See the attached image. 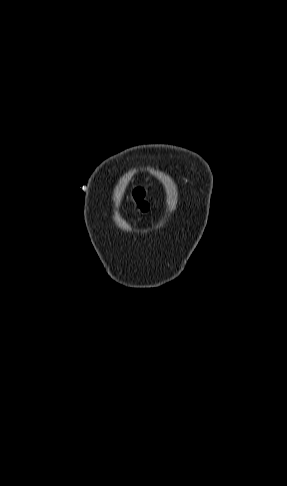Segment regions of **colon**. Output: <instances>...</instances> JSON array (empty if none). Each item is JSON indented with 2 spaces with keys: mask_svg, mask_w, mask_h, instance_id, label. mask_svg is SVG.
Wrapping results in <instances>:
<instances>
[{
  "mask_svg": "<svg viewBox=\"0 0 287 486\" xmlns=\"http://www.w3.org/2000/svg\"><path fill=\"white\" fill-rule=\"evenodd\" d=\"M133 198L141 211H146L149 208V204L146 201V190L144 188H136L133 191Z\"/></svg>",
  "mask_w": 287,
  "mask_h": 486,
  "instance_id": "1",
  "label": "colon"
}]
</instances>
